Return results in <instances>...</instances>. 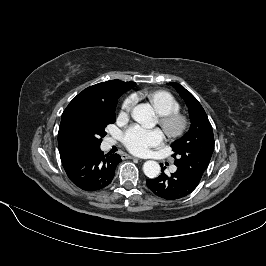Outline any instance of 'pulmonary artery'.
<instances>
[{"instance_id": "pulmonary-artery-1", "label": "pulmonary artery", "mask_w": 266, "mask_h": 266, "mask_svg": "<svg viewBox=\"0 0 266 266\" xmlns=\"http://www.w3.org/2000/svg\"><path fill=\"white\" fill-rule=\"evenodd\" d=\"M113 143H114V141H113L112 139H109V140H108V144H109V145H112ZM173 170H174V168H173Z\"/></svg>"}]
</instances>
